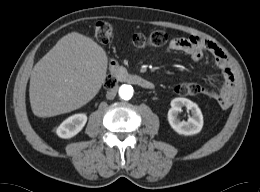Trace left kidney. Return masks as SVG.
<instances>
[{
    "label": "left kidney",
    "mask_w": 260,
    "mask_h": 192,
    "mask_svg": "<svg viewBox=\"0 0 260 192\" xmlns=\"http://www.w3.org/2000/svg\"><path fill=\"white\" fill-rule=\"evenodd\" d=\"M171 108L168 111V122L172 129L180 135H194L203 127V115L198 105L187 98H174L171 101ZM182 107L191 111L188 121H180L178 118Z\"/></svg>",
    "instance_id": "1"
}]
</instances>
